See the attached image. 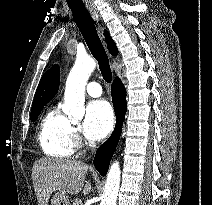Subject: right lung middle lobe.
<instances>
[{"instance_id":"dd1d6c3e","label":"right lung middle lobe","mask_w":212,"mask_h":205,"mask_svg":"<svg viewBox=\"0 0 212 205\" xmlns=\"http://www.w3.org/2000/svg\"><path fill=\"white\" fill-rule=\"evenodd\" d=\"M45 105H39V106H35L32 107L31 109V114H30V119L32 122L36 121V119L38 118L41 110L44 108Z\"/></svg>"}]
</instances>
